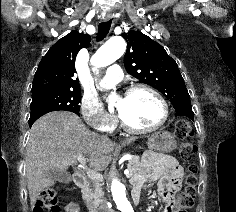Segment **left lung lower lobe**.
Instances as JSON below:
<instances>
[{
    "label": "left lung lower lobe",
    "instance_id": "0a47b994",
    "mask_svg": "<svg viewBox=\"0 0 236 212\" xmlns=\"http://www.w3.org/2000/svg\"><path fill=\"white\" fill-rule=\"evenodd\" d=\"M176 116H186L193 120L194 113L192 111L191 104H179L176 108Z\"/></svg>",
    "mask_w": 236,
    "mask_h": 212
}]
</instances>
